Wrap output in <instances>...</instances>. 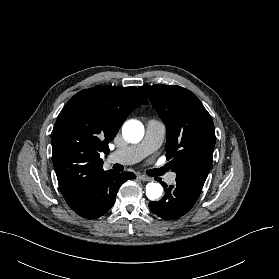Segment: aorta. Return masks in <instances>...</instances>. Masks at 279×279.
Listing matches in <instances>:
<instances>
[{
  "instance_id": "aorta-1",
  "label": "aorta",
  "mask_w": 279,
  "mask_h": 279,
  "mask_svg": "<svg viewBox=\"0 0 279 279\" xmlns=\"http://www.w3.org/2000/svg\"><path fill=\"white\" fill-rule=\"evenodd\" d=\"M124 138L130 143H138L144 136V126L137 120H129L124 123L122 128ZM163 187L159 183L150 182L146 185V196L150 200L161 197Z\"/></svg>"
}]
</instances>
